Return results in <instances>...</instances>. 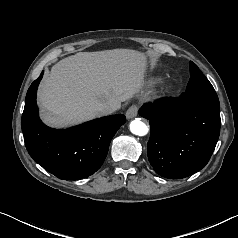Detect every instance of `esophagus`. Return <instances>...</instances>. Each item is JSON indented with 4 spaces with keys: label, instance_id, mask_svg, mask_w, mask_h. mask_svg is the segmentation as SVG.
Here are the masks:
<instances>
[{
    "label": "esophagus",
    "instance_id": "34e87169",
    "mask_svg": "<svg viewBox=\"0 0 238 238\" xmlns=\"http://www.w3.org/2000/svg\"><path fill=\"white\" fill-rule=\"evenodd\" d=\"M138 113V106L137 105H132L126 112V117L127 119L134 118Z\"/></svg>",
    "mask_w": 238,
    "mask_h": 238
}]
</instances>
